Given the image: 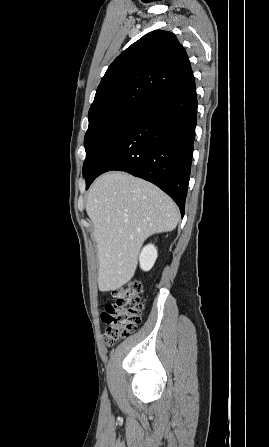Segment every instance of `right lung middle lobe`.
I'll return each mask as SVG.
<instances>
[{"label": "right lung middle lobe", "instance_id": "right-lung-middle-lobe-1", "mask_svg": "<svg viewBox=\"0 0 269 447\" xmlns=\"http://www.w3.org/2000/svg\"><path fill=\"white\" fill-rule=\"evenodd\" d=\"M142 105L123 106L89 119L84 144L86 159L83 176L86 178L93 162L120 133L128 121L141 110Z\"/></svg>", "mask_w": 269, "mask_h": 447}]
</instances>
